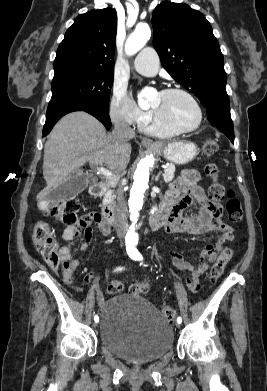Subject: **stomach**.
<instances>
[{"label":"stomach","instance_id":"1","mask_svg":"<svg viewBox=\"0 0 267 391\" xmlns=\"http://www.w3.org/2000/svg\"><path fill=\"white\" fill-rule=\"evenodd\" d=\"M156 149L166 160L177 165H185L198 155L197 145L191 141H177L165 146L158 144Z\"/></svg>","mask_w":267,"mask_h":391}]
</instances>
